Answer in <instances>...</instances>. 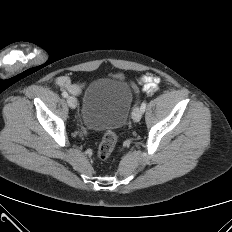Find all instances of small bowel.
Segmentation results:
<instances>
[{"mask_svg":"<svg viewBox=\"0 0 232 232\" xmlns=\"http://www.w3.org/2000/svg\"><path fill=\"white\" fill-rule=\"evenodd\" d=\"M113 76L119 79L123 78V75L121 73H116ZM56 83L59 87L65 88L73 94H80L84 87L83 83L73 82L71 81L70 78L65 76L59 77ZM141 83H142V90L147 94H152L158 90L160 85V80L156 76L147 75L142 78Z\"/></svg>","mask_w":232,"mask_h":232,"instance_id":"obj_1","label":"small bowel"}]
</instances>
